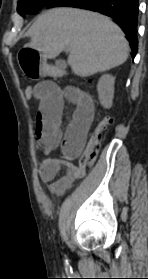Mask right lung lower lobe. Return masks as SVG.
Wrapping results in <instances>:
<instances>
[{"label": "right lung lower lobe", "instance_id": "obj_1", "mask_svg": "<svg viewBox=\"0 0 148 279\" xmlns=\"http://www.w3.org/2000/svg\"><path fill=\"white\" fill-rule=\"evenodd\" d=\"M58 6L88 9L113 18L125 32L132 48L131 55L135 57L138 49V0H52L45 7Z\"/></svg>", "mask_w": 148, "mask_h": 279}]
</instances>
